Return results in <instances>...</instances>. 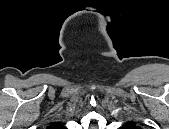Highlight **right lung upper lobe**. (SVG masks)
<instances>
[{
	"instance_id": "right-lung-upper-lobe-1",
	"label": "right lung upper lobe",
	"mask_w": 169,
	"mask_h": 129,
	"mask_svg": "<svg viewBox=\"0 0 169 129\" xmlns=\"http://www.w3.org/2000/svg\"><path fill=\"white\" fill-rule=\"evenodd\" d=\"M63 125H61L60 123H53L49 126V129H63Z\"/></svg>"
}]
</instances>
